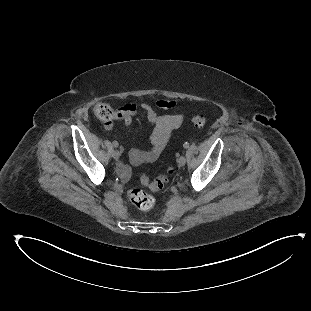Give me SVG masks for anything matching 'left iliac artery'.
<instances>
[{"instance_id": "44dca946", "label": "left iliac artery", "mask_w": 311, "mask_h": 311, "mask_svg": "<svg viewBox=\"0 0 311 311\" xmlns=\"http://www.w3.org/2000/svg\"><path fill=\"white\" fill-rule=\"evenodd\" d=\"M183 146H184V148H188L189 147V143L185 142Z\"/></svg>"}]
</instances>
